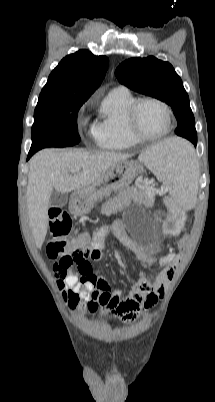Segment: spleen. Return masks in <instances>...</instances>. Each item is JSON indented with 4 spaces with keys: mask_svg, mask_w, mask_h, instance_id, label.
<instances>
[{
    "mask_svg": "<svg viewBox=\"0 0 215 402\" xmlns=\"http://www.w3.org/2000/svg\"><path fill=\"white\" fill-rule=\"evenodd\" d=\"M139 160L170 186L171 193H181L175 197L179 208L191 209L199 191L200 172L196 169L190 143L181 138L166 139L143 152Z\"/></svg>",
    "mask_w": 215,
    "mask_h": 402,
    "instance_id": "1",
    "label": "spleen"
}]
</instances>
